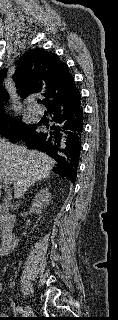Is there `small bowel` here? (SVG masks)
Listing matches in <instances>:
<instances>
[{"mask_svg": "<svg viewBox=\"0 0 118 320\" xmlns=\"http://www.w3.org/2000/svg\"><path fill=\"white\" fill-rule=\"evenodd\" d=\"M3 289V286H2V283L0 282V292L2 291Z\"/></svg>", "mask_w": 118, "mask_h": 320, "instance_id": "1", "label": "small bowel"}]
</instances>
